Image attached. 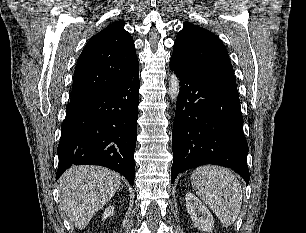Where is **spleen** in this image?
<instances>
[{"mask_svg": "<svg viewBox=\"0 0 306 233\" xmlns=\"http://www.w3.org/2000/svg\"><path fill=\"white\" fill-rule=\"evenodd\" d=\"M191 183L196 194L224 226L234 224L242 205V189L230 170L220 166H201L193 171Z\"/></svg>", "mask_w": 306, "mask_h": 233, "instance_id": "3e777b00", "label": "spleen"}]
</instances>
